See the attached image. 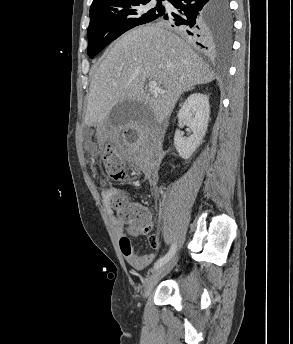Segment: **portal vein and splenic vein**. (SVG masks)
<instances>
[{
    "label": "portal vein and splenic vein",
    "mask_w": 293,
    "mask_h": 344,
    "mask_svg": "<svg viewBox=\"0 0 293 344\" xmlns=\"http://www.w3.org/2000/svg\"><path fill=\"white\" fill-rule=\"evenodd\" d=\"M149 91L151 93H153L154 95L165 93V90H163L160 87H158L156 81H150L149 82Z\"/></svg>",
    "instance_id": "1"
}]
</instances>
